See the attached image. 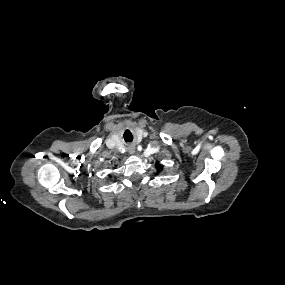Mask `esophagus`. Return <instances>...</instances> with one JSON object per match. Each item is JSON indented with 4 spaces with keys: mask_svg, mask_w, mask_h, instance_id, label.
Instances as JSON below:
<instances>
[{
    "mask_svg": "<svg viewBox=\"0 0 285 285\" xmlns=\"http://www.w3.org/2000/svg\"><path fill=\"white\" fill-rule=\"evenodd\" d=\"M128 151L130 154H133L135 152V146L133 144H130L128 146Z\"/></svg>",
    "mask_w": 285,
    "mask_h": 285,
    "instance_id": "34e87169",
    "label": "esophagus"
}]
</instances>
